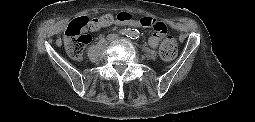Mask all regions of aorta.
Returning a JSON list of instances; mask_svg holds the SVG:
<instances>
[{"instance_id":"762f6f07","label":"aorta","mask_w":255,"mask_h":122,"mask_svg":"<svg viewBox=\"0 0 255 122\" xmlns=\"http://www.w3.org/2000/svg\"><path fill=\"white\" fill-rule=\"evenodd\" d=\"M129 37L137 38L139 36V31L136 29H132L128 32Z\"/></svg>"}]
</instances>
